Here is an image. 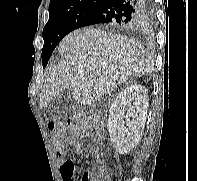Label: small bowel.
Here are the masks:
<instances>
[{
  "label": "small bowel",
  "instance_id": "obj_1",
  "mask_svg": "<svg viewBox=\"0 0 197 181\" xmlns=\"http://www.w3.org/2000/svg\"><path fill=\"white\" fill-rule=\"evenodd\" d=\"M68 146H74L78 151L83 150V146L72 137L65 140V144L59 146L56 150V158L60 163V171L63 181L75 180V164L71 159L66 158V151Z\"/></svg>",
  "mask_w": 197,
  "mask_h": 181
}]
</instances>
